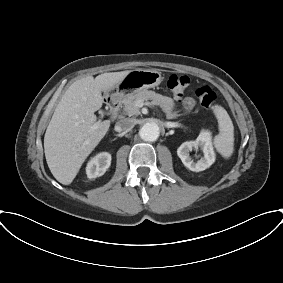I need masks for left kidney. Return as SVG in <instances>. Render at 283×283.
I'll return each mask as SVG.
<instances>
[{"label": "left kidney", "instance_id": "left-kidney-1", "mask_svg": "<svg viewBox=\"0 0 283 283\" xmlns=\"http://www.w3.org/2000/svg\"><path fill=\"white\" fill-rule=\"evenodd\" d=\"M203 151L204 156L197 162H194L190 156L193 149ZM177 155L181 159L185 167L194 172H200L209 168L215 161V152L211 142V133L202 131L194 141H187L181 144L177 149Z\"/></svg>", "mask_w": 283, "mask_h": 283}]
</instances>
